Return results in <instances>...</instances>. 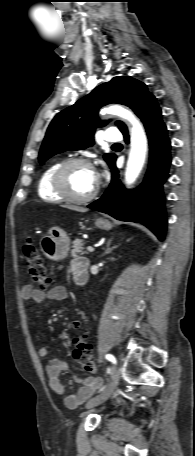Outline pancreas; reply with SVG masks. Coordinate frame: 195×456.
Wrapping results in <instances>:
<instances>
[{
  "mask_svg": "<svg viewBox=\"0 0 195 456\" xmlns=\"http://www.w3.org/2000/svg\"><path fill=\"white\" fill-rule=\"evenodd\" d=\"M84 245H85V242L82 239H75L73 241V249L71 251V255L75 257L79 254L83 255V254L87 253L84 250Z\"/></svg>",
  "mask_w": 195,
  "mask_h": 456,
  "instance_id": "obj_1",
  "label": "pancreas"
}]
</instances>
